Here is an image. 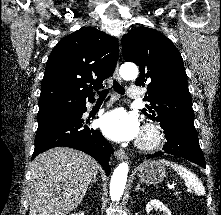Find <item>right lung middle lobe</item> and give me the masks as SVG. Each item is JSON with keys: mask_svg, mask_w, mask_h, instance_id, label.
Segmentation results:
<instances>
[{"mask_svg": "<svg viewBox=\"0 0 221 215\" xmlns=\"http://www.w3.org/2000/svg\"><path fill=\"white\" fill-rule=\"evenodd\" d=\"M73 113H75V111H74V112H71V113L59 115V116H53V117H38V122L45 121V120H49V119H53V118H57V117L69 116V115H71V114H73Z\"/></svg>", "mask_w": 221, "mask_h": 215, "instance_id": "1", "label": "right lung middle lobe"}]
</instances>
